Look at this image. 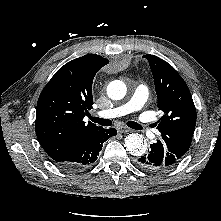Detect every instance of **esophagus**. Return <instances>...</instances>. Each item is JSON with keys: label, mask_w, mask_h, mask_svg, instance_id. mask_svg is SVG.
<instances>
[{"label": "esophagus", "mask_w": 221, "mask_h": 221, "mask_svg": "<svg viewBox=\"0 0 221 221\" xmlns=\"http://www.w3.org/2000/svg\"><path fill=\"white\" fill-rule=\"evenodd\" d=\"M117 130H118L119 133H127V132L131 131V129H129V128L125 127V126H119L117 128Z\"/></svg>", "instance_id": "1"}]
</instances>
